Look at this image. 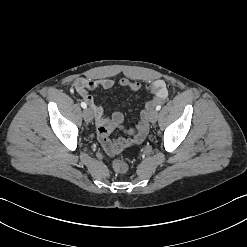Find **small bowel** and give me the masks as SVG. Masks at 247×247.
Returning <instances> with one entry per match:
<instances>
[{
    "instance_id": "obj_1",
    "label": "small bowel",
    "mask_w": 247,
    "mask_h": 247,
    "mask_svg": "<svg viewBox=\"0 0 247 247\" xmlns=\"http://www.w3.org/2000/svg\"><path fill=\"white\" fill-rule=\"evenodd\" d=\"M115 85V81L108 78L93 79V78H78L73 83V90L88 103L92 110L97 125L98 138L103 148L109 155H114L120 147L130 145L132 143H140L145 138L148 131V109L156 102L166 98L168 92L165 83L162 80H156L147 85V90L153 94V99L146 104V110L142 111L140 120L137 125L127 130L131 138L110 139L109 135L117 128L124 127V117L120 112H114L110 117L104 113V109L100 106L90 94L91 90L102 88L111 89ZM119 85L131 91H138L141 84L136 81L122 78L119 80ZM104 131V137H101L100 132Z\"/></svg>"
}]
</instances>
